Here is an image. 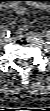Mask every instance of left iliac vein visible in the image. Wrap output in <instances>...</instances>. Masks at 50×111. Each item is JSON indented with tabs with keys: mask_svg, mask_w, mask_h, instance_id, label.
Masks as SVG:
<instances>
[{
	"mask_svg": "<svg viewBox=\"0 0 50 111\" xmlns=\"http://www.w3.org/2000/svg\"><path fill=\"white\" fill-rule=\"evenodd\" d=\"M29 34L32 36V37H35L39 42H43V39L42 37L39 35V34H36L34 32H29Z\"/></svg>",
	"mask_w": 50,
	"mask_h": 111,
	"instance_id": "left-iliac-vein-1",
	"label": "left iliac vein"
}]
</instances>
